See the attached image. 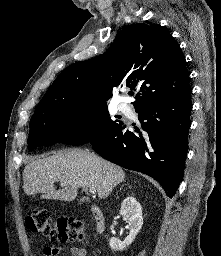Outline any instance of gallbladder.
Wrapping results in <instances>:
<instances>
[{"mask_svg":"<svg viewBox=\"0 0 221 256\" xmlns=\"http://www.w3.org/2000/svg\"><path fill=\"white\" fill-rule=\"evenodd\" d=\"M85 201V198L80 199V203H83Z\"/></svg>","mask_w":221,"mask_h":256,"instance_id":"1","label":"gallbladder"}]
</instances>
